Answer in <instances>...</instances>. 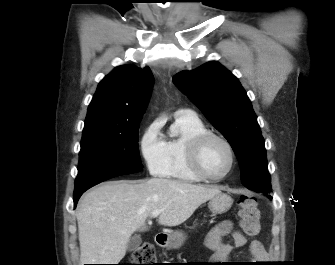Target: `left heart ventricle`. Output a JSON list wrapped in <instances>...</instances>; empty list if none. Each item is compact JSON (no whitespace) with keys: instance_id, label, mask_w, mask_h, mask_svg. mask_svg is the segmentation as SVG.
I'll list each match as a JSON object with an SVG mask.
<instances>
[{"instance_id":"1","label":"left heart ventricle","mask_w":335,"mask_h":265,"mask_svg":"<svg viewBox=\"0 0 335 265\" xmlns=\"http://www.w3.org/2000/svg\"><path fill=\"white\" fill-rule=\"evenodd\" d=\"M230 155L226 146L218 140H210L201 153V165L211 176H220L228 168Z\"/></svg>"}]
</instances>
